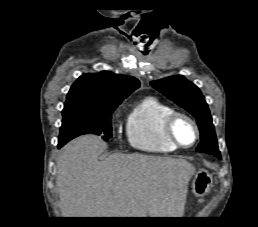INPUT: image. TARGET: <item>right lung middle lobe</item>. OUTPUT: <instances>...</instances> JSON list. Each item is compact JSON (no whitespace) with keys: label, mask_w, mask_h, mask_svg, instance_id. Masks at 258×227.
I'll use <instances>...</instances> for the list:
<instances>
[{"label":"right lung middle lobe","mask_w":258,"mask_h":227,"mask_svg":"<svg viewBox=\"0 0 258 227\" xmlns=\"http://www.w3.org/2000/svg\"><path fill=\"white\" fill-rule=\"evenodd\" d=\"M118 105L95 106L80 102H66L59 142L67 143L83 134H95L104 140L112 137L111 114Z\"/></svg>","instance_id":"dd1d6c3e"}]
</instances>
